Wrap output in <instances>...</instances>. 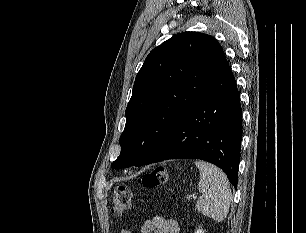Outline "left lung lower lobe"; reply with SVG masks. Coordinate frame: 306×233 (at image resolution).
<instances>
[{
    "label": "left lung lower lobe",
    "instance_id": "0a47b994",
    "mask_svg": "<svg viewBox=\"0 0 306 233\" xmlns=\"http://www.w3.org/2000/svg\"><path fill=\"white\" fill-rule=\"evenodd\" d=\"M242 140V109L228 63L144 164L201 159L220 167L236 188Z\"/></svg>",
    "mask_w": 306,
    "mask_h": 233
}]
</instances>
